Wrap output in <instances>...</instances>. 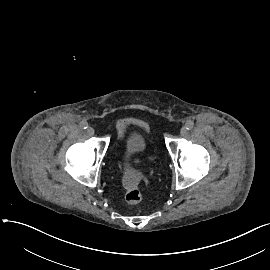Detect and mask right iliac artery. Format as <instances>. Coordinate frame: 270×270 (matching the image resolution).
I'll use <instances>...</instances> for the list:
<instances>
[{"mask_svg":"<svg viewBox=\"0 0 270 270\" xmlns=\"http://www.w3.org/2000/svg\"><path fill=\"white\" fill-rule=\"evenodd\" d=\"M80 127L83 128V129H87L88 128V123L86 121H82L80 123Z\"/></svg>","mask_w":270,"mask_h":270,"instance_id":"82829eb1","label":"right iliac artery"}]
</instances>
